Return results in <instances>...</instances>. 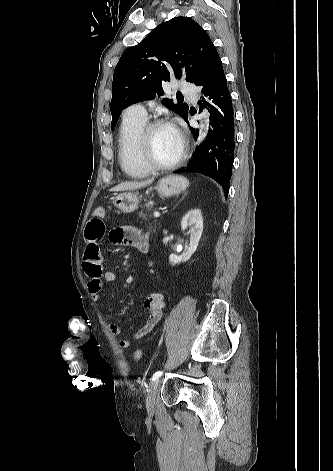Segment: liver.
<instances>
[{
    "label": "liver",
    "instance_id": "1",
    "mask_svg": "<svg viewBox=\"0 0 333 471\" xmlns=\"http://www.w3.org/2000/svg\"><path fill=\"white\" fill-rule=\"evenodd\" d=\"M153 182V179H149L147 181H143V182H124V183H121L115 187H113L111 190L112 191H133V190H136V189H140L142 187H145L147 185H150L151 183Z\"/></svg>",
    "mask_w": 333,
    "mask_h": 471
}]
</instances>
